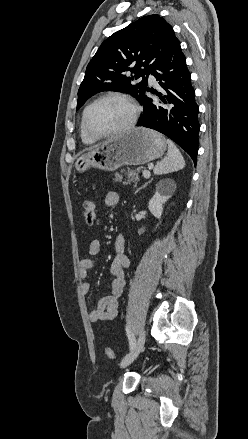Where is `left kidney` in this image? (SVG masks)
I'll return each mask as SVG.
<instances>
[{
  "label": "left kidney",
  "mask_w": 248,
  "mask_h": 439,
  "mask_svg": "<svg viewBox=\"0 0 248 439\" xmlns=\"http://www.w3.org/2000/svg\"><path fill=\"white\" fill-rule=\"evenodd\" d=\"M174 192V184L170 180H162L156 186V192L149 200L148 208L151 213L158 219H161L163 205Z\"/></svg>",
  "instance_id": "1"
}]
</instances>
